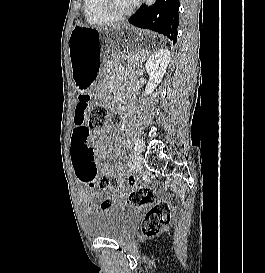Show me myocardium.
<instances>
[{"label":"myocardium","mask_w":265,"mask_h":273,"mask_svg":"<svg viewBox=\"0 0 265 273\" xmlns=\"http://www.w3.org/2000/svg\"><path fill=\"white\" fill-rule=\"evenodd\" d=\"M141 0H135L133 4L124 12L117 13L111 7V0H100L102 13L111 21L123 20L134 13Z\"/></svg>","instance_id":"1"}]
</instances>
